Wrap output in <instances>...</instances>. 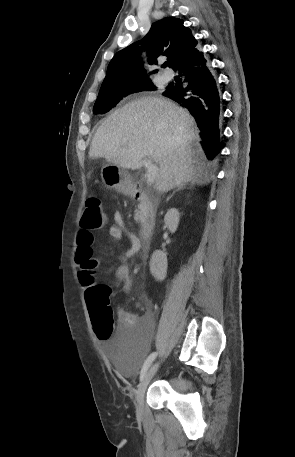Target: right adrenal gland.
Masks as SVG:
<instances>
[{"label":"right adrenal gland","instance_id":"2a0ac1e0","mask_svg":"<svg viewBox=\"0 0 295 457\" xmlns=\"http://www.w3.org/2000/svg\"><path fill=\"white\" fill-rule=\"evenodd\" d=\"M194 185H195V184L191 182V183L189 184V188L192 189V188L194 187ZM184 188H186V185L180 186L176 191L173 192L172 195H170V196L167 198L166 201L168 202V201L172 198V196L175 194V192H177V191H179V190H181V189H184Z\"/></svg>","mask_w":295,"mask_h":457}]
</instances>
